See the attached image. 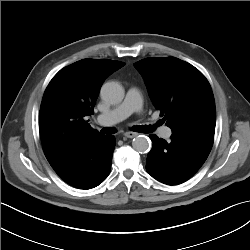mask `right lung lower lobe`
<instances>
[{"label": "right lung lower lobe", "mask_w": 250, "mask_h": 250, "mask_svg": "<svg viewBox=\"0 0 250 250\" xmlns=\"http://www.w3.org/2000/svg\"><path fill=\"white\" fill-rule=\"evenodd\" d=\"M114 147L113 135L97 134L68 148L49 163L69 185L90 189L101 184L109 175Z\"/></svg>", "instance_id": "98d812e1"}]
</instances>
